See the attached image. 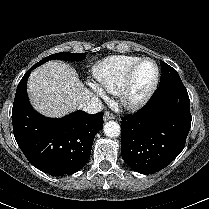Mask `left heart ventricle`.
I'll return each mask as SVG.
<instances>
[{
  "label": "left heart ventricle",
  "mask_w": 209,
  "mask_h": 209,
  "mask_svg": "<svg viewBox=\"0 0 209 209\" xmlns=\"http://www.w3.org/2000/svg\"><path fill=\"white\" fill-rule=\"evenodd\" d=\"M155 77V67L149 62H143L137 68L132 83L131 94L134 98L142 96L151 86Z\"/></svg>",
  "instance_id": "b2bd125f"
}]
</instances>
